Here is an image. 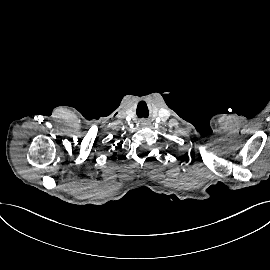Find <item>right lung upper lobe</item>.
<instances>
[{
    "label": "right lung upper lobe",
    "mask_w": 270,
    "mask_h": 270,
    "mask_svg": "<svg viewBox=\"0 0 270 270\" xmlns=\"http://www.w3.org/2000/svg\"><path fill=\"white\" fill-rule=\"evenodd\" d=\"M118 146H119V144H118ZM115 155H116V153L113 154V157H115Z\"/></svg>",
    "instance_id": "cb5924a9"
}]
</instances>
